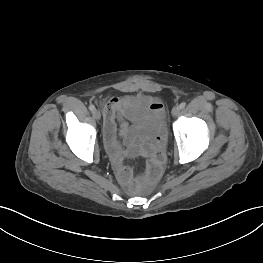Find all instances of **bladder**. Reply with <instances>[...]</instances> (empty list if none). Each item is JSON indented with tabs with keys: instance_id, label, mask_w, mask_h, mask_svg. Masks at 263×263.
<instances>
[{
	"instance_id": "obj_1",
	"label": "bladder",
	"mask_w": 263,
	"mask_h": 263,
	"mask_svg": "<svg viewBox=\"0 0 263 263\" xmlns=\"http://www.w3.org/2000/svg\"><path fill=\"white\" fill-rule=\"evenodd\" d=\"M128 111L137 127L138 136L144 138L150 135L158 121L156 114L151 110L150 104L147 101L140 100L132 103Z\"/></svg>"
}]
</instances>
